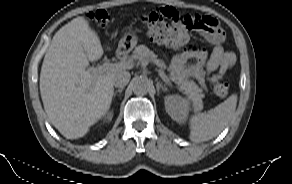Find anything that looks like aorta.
<instances>
[{
  "label": "aorta",
  "mask_w": 292,
  "mask_h": 184,
  "mask_svg": "<svg viewBox=\"0 0 292 184\" xmlns=\"http://www.w3.org/2000/svg\"><path fill=\"white\" fill-rule=\"evenodd\" d=\"M151 83L148 79L137 77L132 82V90L137 95H145L150 90Z\"/></svg>",
  "instance_id": "obj_1"
}]
</instances>
